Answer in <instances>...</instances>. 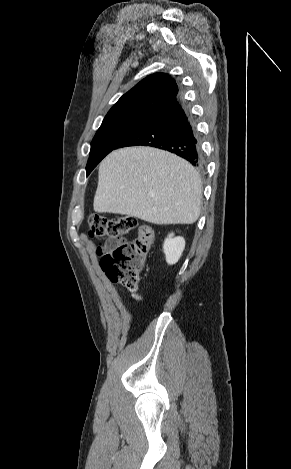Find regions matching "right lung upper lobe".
<instances>
[{"label": "right lung upper lobe", "mask_w": 291, "mask_h": 469, "mask_svg": "<svg viewBox=\"0 0 291 469\" xmlns=\"http://www.w3.org/2000/svg\"><path fill=\"white\" fill-rule=\"evenodd\" d=\"M179 96L177 84L165 73H154L124 94L107 115L126 111L155 114Z\"/></svg>", "instance_id": "cb5924a9"}]
</instances>
